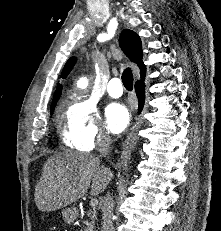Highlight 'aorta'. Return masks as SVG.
Instances as JSON below:
<instances>
[{
    "label": "aorta",
    "mask_w": 221,
    "mask_h": 231,
    "mask_svg": "<svg viewBox=\"0 0 221 231\" xmlns=\"http://www.w3.org/2000/svg\"><path fill=\"white\" fill-rule=\"evenodd\" d=\"M88 84V81L87 79L85 78H82L78 81L77 85L80 87V88H85Z\"/></svg>",
    "instance_id": "762f6f07"
}]
</instances>
